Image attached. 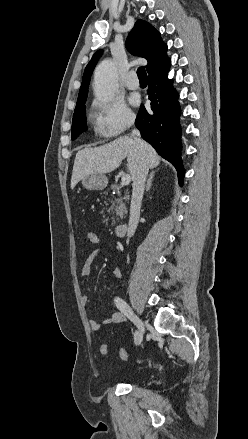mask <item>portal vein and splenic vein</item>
<instances>
[{
    "mask_svg": "<svg viewBox=\"0 0 248 439\" xmlns=\"http://www.w3.org/2000/svg\"><path fill=\"white\" fill-rule=\"evenodd\" d=\"M131 177L129 174H125L121 178L122 185H128L130 183Z\"/></svg>",
    "mask_w": 248,
    "mask_h": 439,
    "instance_id": "obj_1",
    "label": "portal vein and splenic vein"
}]
</instances>
